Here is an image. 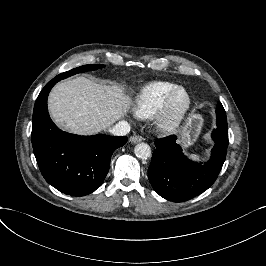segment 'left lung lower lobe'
I'll list each match as a JSON object with an SVG mask.
<instances>
[{"instance_id": "0a47b994", "label": "left lung lower lobe", "mask_w": 266, "mask_h": 266, "mask_svg": "<svg viewBox=\"0 0 266 266\" xmlns=\"http://www.w3.org/2000/svg\"><path fill=\"white\" fill-rule=\"evenodd\" d=\"M215 145L207 162H193L183 153L172 135L155 141L148 168V178L154 190L163 198L183 202L206 191L216 180L226 158L228 147L227 118L217 121L212 132Z\"/></svg>"}]
</instances>
